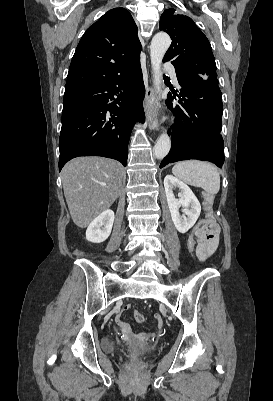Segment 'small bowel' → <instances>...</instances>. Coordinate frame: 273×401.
<instances>
[{
    "label": "small bowel",
    "mask_w": 273,
    "mask_h": 401,
    "mask_svg": "<svg viewBox=\"0 0 273 401\" xmlns=\"http://www.w3.org/2000/svg\"><path fill=\"white\" fill-rule=\"evenodd\" d=\"M194 236L198 237V229L197 228L194 229L193 233L190 234L188 239H187V248L190 251L193 250L194 245H195L194 238H193ZM216 244H217V241H197V247H196L197 257L201 261H205L213 253V251L215 250ZM122 311L123 312H127L128 308L127 307H123ZM153 317L154 318H159L160 317V312L159 311H154L153 312ZM136 321H140V320L136 319ZM157 323L161 324L162 320L158 319ZM122 325H125V326H122V330H121L122 331V336L127 339L131 335V337L129 339H127V340L135 338L136 340L140 341L143 338H147L149 336V333L147 331H144L142 334L141 333H133L132 330H131V327L128 324H122ZM129 331H131V334H130Z\"/></svg>",
    "instance_id": "obj_1"
}]
</instances>
